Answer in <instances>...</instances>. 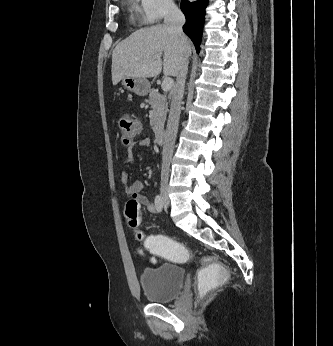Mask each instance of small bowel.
<instances>
[{"instance_id":"small-bowel-1","label":"small bowel","mask_w":333,"mask_h":346,"mask_svg":"<svg viewBox=\"0 0 333 346\" xmlns=\"http://www.w3.org/2000/svg\"><path fill=\"white\" fill-rule=\"evenodd\" d=\"M151 143L149 138H140L138 139L134 144L129 146L127 150V163H134L135 157H134V147H147ZM122 182L124 184V191L125 194L129 197L136 198L139 203L145 207L149 212L154 213L156 212V206L150 200L148 197L143 195L141 193L142 190V183L140 181H133L130 182V174L128 172H123L121 175ZM147 240V239H146Z\"/></svg>"}]
</instances>
